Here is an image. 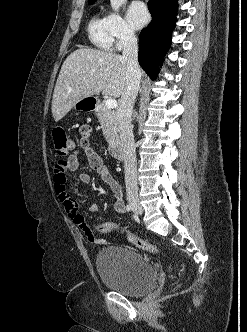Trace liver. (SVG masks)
<instances>
[{
    "mask_svg": "<svg viewBox=\"0 0 247 332\" xmlns=\"http://www.w3.org/2000/svg\"><path fill=\"white\" fill-rule=\"evenodd\" d=\"M127 62L108 51L80 48L64 61L52 98L54 120H61L82 98L102 92L120 97L128 80Z\"/></svg>",
    "mask_w": 247,
    "mask_h": 332,
    "instance_id": "1",
    "label": "liver"
}]
</instances>
